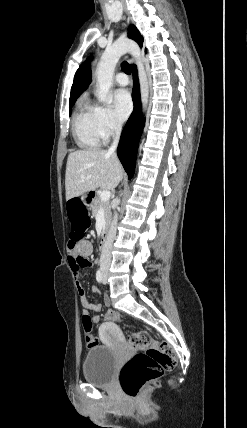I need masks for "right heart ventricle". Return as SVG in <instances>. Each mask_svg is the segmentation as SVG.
<instances>
[{"instance_id": "right-heart-ventricle-1", "label": "right heart ventricle", "mask_w": 247, "mask_h": 428, "mask_svg": "<svg viewBox=\"0 0 247 428\" xmlns=\"http://www.w3.org/2000/svg\"><path fill=\"white\" fill-rule=\"evenodd\" d=\"M73 135L77 145L83 149H94L100 145L101 137L96 122V107L88 100L78 105L73 118Z\"/></svg>"}]
</instances>
